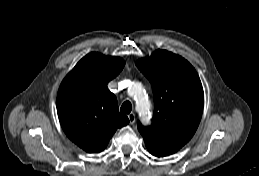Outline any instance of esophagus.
Segmentation results:
<instances>
[{
    "label": "esophagus",
    "mask_w": 259,
    "mask_h": 176,
    "mask_svg": "<svg viewBox=\"0 0 259 176\" xmlns=\"http://www.w3.org/2000/svg\"><path fill=\"white\" fill-rule=\"evenodd\" d=\"M128 119H129L130 124L135 123V120H136L135 114L134 113L128 114Z\"/></svg>",
    "instance_id": "34e87169"
}]
</instances>
